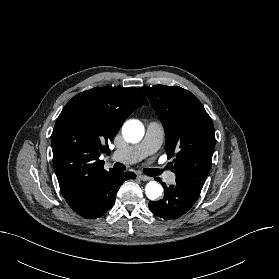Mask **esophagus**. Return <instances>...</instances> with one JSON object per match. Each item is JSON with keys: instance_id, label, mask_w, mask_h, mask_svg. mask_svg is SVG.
<instances>
[{"instance_id": "esophagus-1", "label": "esophagus", "mask_w": 279, "mask_h": 279, "mask_svg": "<svg viewBox=\"0 0 279 279\" xmlns=\"http://www.w3.org/2000/svg\"><path fill=\"white\" fill-rule=\"evenodd\" d=\"M138 178L142 181H149L152 179L151 177H148L146 175H139Z\"/></svg>"}]
</instances>
